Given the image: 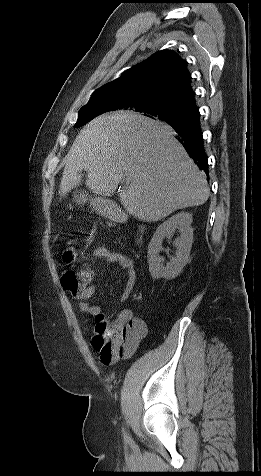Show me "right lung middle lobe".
I'll return each mask as SVG.
<instances>
[{"label": "right lung middle lobe", "mask_w": 261, "mask_h": 476, "mask_svg": "<svg viewBox=\"0 0 261 476\" xmlns=\"http://www.w3.org/2000/svg\"><path fill=\"white\" fill-rule=\"evenodd\" d=\"M115 110H119V105L118 99L113 96L99 98L94 101H91L80 109L79 117L75 124V127L83 126L96 116ZM132 111L157 118L166 123L181 118L185 112L184 110H181L179 108L159 103L146 104Z\"/></svg>", "instance_id": "obj_1"}]
</instances>
